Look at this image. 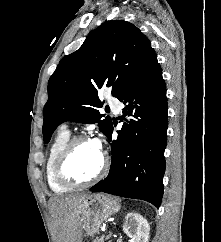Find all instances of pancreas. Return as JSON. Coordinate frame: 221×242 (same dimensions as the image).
<instances>
[{"label": "pancreas", "mask_w": 221, "mask_h": 242, "mask_svg": "<svg viewBox=\"0 0 221 242\" xmlns=\"http://www.w3.org/2000/svg\"><path fill=\"white\" fill-rule=\"evenodd\" d=\"M93 242H104V237H96Z\"/></svg>", "instance_id": "obj_1"}]
</instances>
